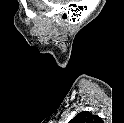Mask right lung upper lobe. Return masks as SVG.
Segmentation results:
<instances>
[{
  "label": "right lung upper lobe",
  "instance_id": "cb5924a9",
  "mask_svg": "<svg viewBox=\"0 0 124 123\" xmlns=\"http://www.w3.org/2000/svg\"><path fill=\"white\" fill-rule=\"evenodd\" d=\"M95 121H101L97 115H92L88 111H82L75 116L70 123H93Z\"/></svg>",
  "mask_w": 124,
  "mask_h": 123
}]
</instances>
